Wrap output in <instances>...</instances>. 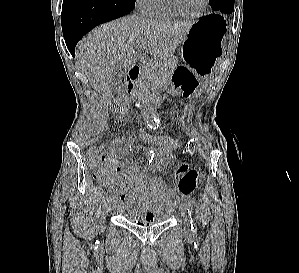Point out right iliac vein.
<instances>
[{
    "instance_id": "right-iliac-vein-1",
    "label": "right iliac vein",
    "mask_w": 299,
    "mask_h": 273,
    "mask_svg": "<svg viewBox=\"0 0 299 273\" xmlns=\"http://www.w3.org/2000/svg\"><path fill=\"white\" fill-rule=\"evenodd\" d=\"M111 204H112V208L115 209L117 207V200L112 199Z\"/></svg>"
}]
</instances>
